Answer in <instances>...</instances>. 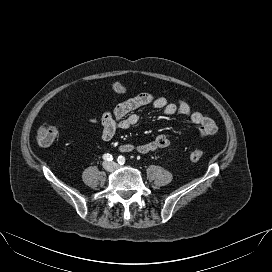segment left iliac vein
<instances>
[{"instance_id":"left-iliac-vein-1","label":"left iliac vein","mask_w":272,"mask_h":272,"mask_svg":"<svg viewBox=\"0 0 272 272\" xmlns=\"http://www.w3.org/2000/svg\"><path fill=\"white\" fill-rule=\"evenodd\" d=\"M112 165H113L114 168H119V167H120V166H119L118 164H116V163H112Z\"/></svg>"}]
</instances>
